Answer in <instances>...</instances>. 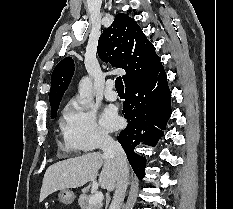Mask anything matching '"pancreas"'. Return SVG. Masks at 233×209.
Segmentation results:
<instances>
[{
    "label": "pancreas",
    "mask_w": 233,
    "mask_h": 209,
    "mask_svg": "<svg viewBox=\"0 0 233 209\" xmlns=\"http://www.w3.org/2000/svg\"><path fill=\"white\" fill-rule=\"evenodd\" d=\"M89 199H90V196H88L86 192H83V194L79 196L78 204L81 209H102L103 207L102 203L89 204Z\"/></svg>",
    "instance_id": "cf45deb5"
}]
</instances>
